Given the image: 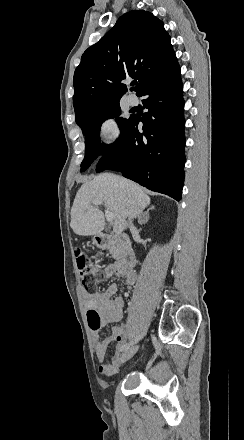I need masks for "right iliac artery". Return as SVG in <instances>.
Wrapping results in <instances>:
<instances>
[{"label": "right iliac artery", "instance_id": "1", "mask_svg": "<svg viewBox=\"0 0 244 440\" xmlns=\"http://www.w3.org/2000/svg\"><path fill=\"white\" fill-rule=\"evenodd\" d=\"M141 337H142V334L139 335L134 341H132V342H130V343H128V344L123 345V346L120 348V351H125V350H127L131 345H133L134 343H136Z\"/></svg>", "mask_w": 244, "mask_h": 440}]
</instances>
